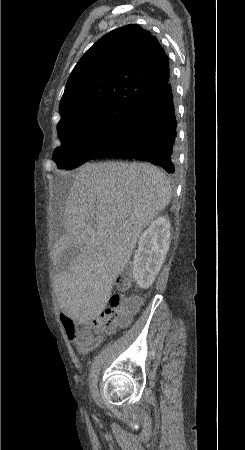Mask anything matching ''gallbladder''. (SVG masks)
Wrapping results in <instances>:
<instances>
[{"mask_svg":"<svg viewBox=\"0 0 245 450\" xmlns=\"http://www.w3.org/2000/svg\"><path fill=\"white\" fill-rule=\"evenodd\" d=\"M78 254V251L76 249H69L63 256L61 267H67L69 262Z\"/></svg>","mask_w":245,"mask_h":450,"instance_id":"obj_1","label":"gallbladder"}]
</instances>
